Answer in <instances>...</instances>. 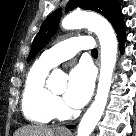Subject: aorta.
Wrapping results in <instances>:
<instances>
[{
  "label": "aorta",
  "mask_w": 136,
  "mask_h": 136,
  "mask_svg": "<svg viewBox=\"0 0 136 136\" xmlns=\"http://www.w3.org/2000/svg\"><path fill=\"white\" fill-rule=\"evenodd\" d=\"M66 30L87 27L98 37L101 45V68L96 97L81 119L77 136H90L105 110L111 87L113 70L116 63L117 38L110 23L102 16L85 11H74L62 20ZM50 89L63 92L66 88V76L54 70L49 78Z\"/></svg>",
  "instance_id": "1"
}]
</instances>
